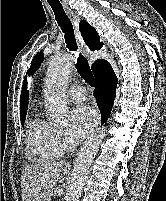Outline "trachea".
<instances>
[{
  "label": "trachea",
  "instance_id": "3493384b",
  "mask_svg": "<svg viewBox=\"0 0 166 201\" xmlns=\"http://www.w3.org/2000/svg\"><path fill=\"white\" fill-rule=\"evenodd\" d=\"M51 8L55 14V19L58 25L60 26L62 32L64 33V38H65V43L67 45V48L70 51H77V44H76V39L74 36L73 26L70 19L66 15L63 7L51 6ZM76 68L80 76L87 83H89L90 86L96 87L95 78L88 66V63L85 57L81 54H79L77 58Z\"/></svg>",
  "mask_w": 166,
  "mask_h": 201
}]
</instances>
